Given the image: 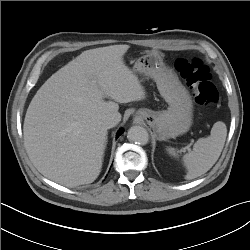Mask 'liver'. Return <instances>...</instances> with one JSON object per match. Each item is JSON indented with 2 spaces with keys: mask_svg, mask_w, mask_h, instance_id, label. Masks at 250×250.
<instances>
[{
  "mask_svg": "<svg viewBox=\"0 0 250 250\" xmlns=\"http://www.w3.org/2000/svg\"><path fill=\"white\" fill-rule=\"evenodd\" d=\"M128 49L129 45H112L82 52L31 100L23 125L24 145L48 179L76 187L99 176L108 134L102 119L119 113L118 103L146 97L138 77L124 63Z\"/></svg>",
  "mask_w": 250,
  "mask_h": 250,
  "instance_id": "liver-1",
  "label": "liver"
}]
</instances>
